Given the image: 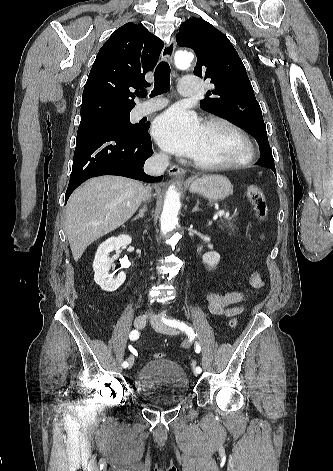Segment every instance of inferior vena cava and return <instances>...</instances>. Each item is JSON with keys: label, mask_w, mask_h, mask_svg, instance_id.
I'll return each instance as SVG.
<instances>
[{"label": "inferior vena cava", "mask_w": 333, "mask_h": 471, "mask_svg": "<svg viewBox=\"0 0 333 471\" xmlns=\"http://www.w3.org/2000/svg\"><path fill=\"white\" fill-rule=\"evenodd\" d=\"M168 165H169L168 155H166L165 153H159L147 159L144 165V171L145 173L149 175L158 176L165 172ZM148 197H149V192L147 191V189H144L142 199L147 200Z\"/></svg>", "instance_id": "obj_1"}]
</instances>
